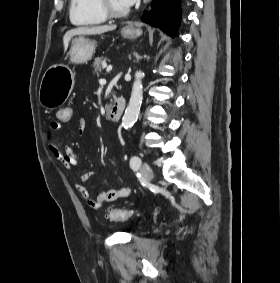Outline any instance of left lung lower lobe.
Segmentation results:
<instances>
[{
	"label": "left lung lower lobe",
	"instance_id": "1",
	"mask_svg": "<svg viewBox=\"0 0 280 283\" xmlns=\"http://www.w3.org/2000/svg\"><path fill=\"white\" fill-rule=\"evenodd\" d=\"M178 2L179 0H153L150 11H145L141 20L175 37L180 25Z\"/></svg>",
	"mask_w": 280,
	"mask_h": 283
}]
</instances>
